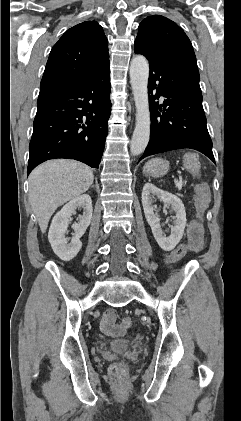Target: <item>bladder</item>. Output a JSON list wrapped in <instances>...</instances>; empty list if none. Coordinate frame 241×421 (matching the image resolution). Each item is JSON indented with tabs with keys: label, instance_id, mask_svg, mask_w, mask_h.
<instances>
[{
	"label": "bladder",
	"instance_id": "bladder-1",
	"mask_svg": "<svg viewBox=\"0 0 241 421\" xmlns=\"http://www.w3.org/2000/svg\"><path fill=\"white\" fill-rule=\"evenodd\" d=\"M132 346V342L126 339L114 340L110 343V348L116 352H124Z\"/></svg>",
	"mask_w": 241,
	"mask_h": 421
}]
</instances>
